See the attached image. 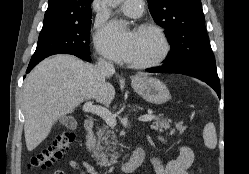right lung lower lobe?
<instances>
[{"instance_id": "right-lung-lower-lobe-1", "label": "right lung lower lobe", "mask_w": 249, "mask_h": 174, "mask_svg": "<svg viewBox=\"0 0 249 174\" xmlns=\"http://www.w3.org/2000/svg\"><path fill=\"white\" fill-rule=\"evenodd\" d=\"M72 55H75V56H77L85 61H88V62L91 61L90 54H84V53L77 54V53H75ZM41 60H43V59H41ZM41 60L36 61V62H30L26 73H29L35 67V65H37Z\"/></svg>"}]
</instances>
